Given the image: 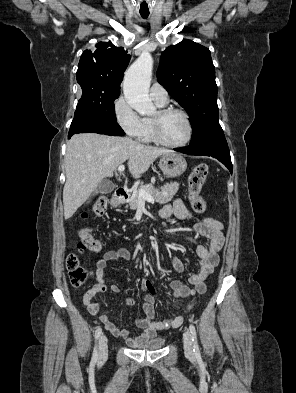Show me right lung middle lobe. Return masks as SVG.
Returning <instances> with one entry per match:
<instances>
[{
	"mask_svg": "<svg viewBox=\"0 0 296 393\" xmlns=\"http://www.w3.org/2000/svg\"><path fill=\"white\" fill-rule=\"evenodd\" d=\"M120 93L99 94L94 92L85 93L77 104L76 111L97 114L107 120L116 121L114 101Z\"/></svg>",
	"mask_w": 296,
	"mask_h": 393,
	"instance_id": "right-lung-middle-lobe-1",
	"label": "right lung middle lobe"
}]
</instances>
